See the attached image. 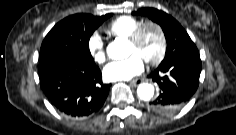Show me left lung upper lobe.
Returning a JSON list of instances; mask_svg holds the SVG:
<instances>
[{
    "label": "left lung upper lobe",
    "instance_id": "5c2ea615",
    "mask_svg": "<svg viewBox=\"0 0 236 135\" xmlns=\"http://www.w3.org/2000/svg\"><path fill=\"white\" fill-rule=\"evenodd\" d=\"M132 14L147 16L162 27L167 42V48L164 60L161 64L173 59L185 57L190 54L191 51L198 50L183 27L169 14L154 8H141L138 11H134Z\"/></svg>",
    "mask_w": 236,
    "mask_h": 135
}]
</instances>
